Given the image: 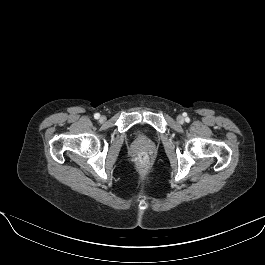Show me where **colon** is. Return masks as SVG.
<instances>
[{
	"label": "colon",
	"instance_id": "1",
	"mask_svg": "<svg viewBox=\"0 0 265 265\" xmlns=\"http://www.w3.org/2000/svg\"><path fill=\"white\" fill-rule=\"evenodd\" d=\"M138 162H139L140 164H145V163L147 162V158H146V156H145V155H140V156L138 157Z\"/></svg>",
	"mask_w": 265,
	"mask_h": 265
}]
</instances>
